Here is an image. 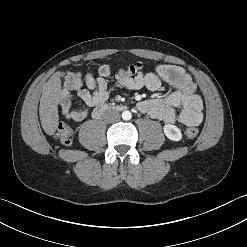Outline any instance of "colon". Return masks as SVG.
Segmentation results:
<instances>
[{
    "mask_svg": "<svg viewBox=\"0 0 247 247\" xmlns=\"http://www.w3.org/2000/svg\"><path fill=\"white\" fill-rule=\"evenodd\" d=\"M143 68V64L141 62H137L133 65L128 66L126 69L121 70V72L125 75L134 76L138 74ZM199 134V130L195 126H191L186 129L185 135L188 138H195ZM56 137L63 144H70L72 140V129L69 125L65 123H60L56 129Z\"/></svg>",
    "mask_w": 247,
    "mask_h": 247,
    "instance_id": "colon-1",
    "label": "colon"
}]
</instances>
